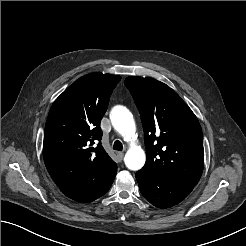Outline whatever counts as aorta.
<instances>
[{
	"label": "aorta",
	"instance_id": "obj_1",
	"mask_svg": "<svg viewBox=\"0 0 246 246\" xmlns=\"http://www.w3.org/2000/svg\"><path fill=\"white\" fill-rule=\"evenodd\" d=\"M110 119L114 129L124 138L134 136L136 131L135 121L132 113L124 106H115L111 113ZM146 161L144 150L137 145H131L127 150L124 162L128 169L137 171L140 170Z\"/></svg>",
	"mask_w": 246,
	"mask_h": 246
}]
</instances>
